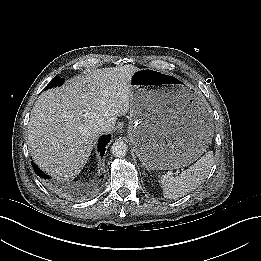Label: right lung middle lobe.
Instances as JSON below:
<instances>
[{
  "instance_id": "1",
  "label": "right lung middle lobe",
  "mask_w": 261,
  "mask_h": 261,
  "mask_svg": "<svg viewBox=\"0 0 261 261\" xmlns=\"http://www.w3.org/2000/svg\"><path fill=\"white\" fill-rule=\"evenodd\" d=\"M64 79L63 78H59V77H54L52 79V81L45 87V89L51 88V87H55V86H61L64 83Z\"/></svg>"
}]
</instances>
